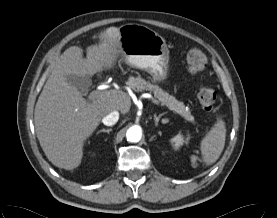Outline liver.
Returning <instances> with one entry per match:
<instances>
[{
    "instance_id": "obj_1",
    "label": "liver",
    "mask_w": 277,
    "mask_h": 218,
    "mask_svg": "<svg viewBox=\"0 0 277 218\" xmlns=\"http://www.w3.org/2000/svg\"><path fill=\"white\" fill-rule=\"evenodd\" d=\"M119 28L109 27L99 34V43L88 46L86 58L78 46L66 49L58 59L38 98L34 112L35 131L48 160L58 168H77L86 139L101 119L114 110L126 114L130 96L117 89L100 91L95 100H86L66 76L100 75L114 68L121 54Z\"/></svg>"
}]
</instances>
